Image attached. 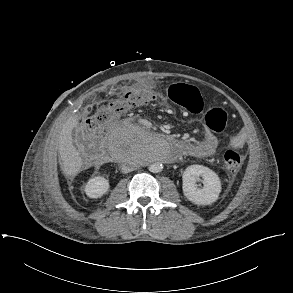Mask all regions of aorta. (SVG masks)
I'll list each match as a JSON object with an SVG mask.
<instances>
[{
	"label": "aorta",
	"mask_w": 293,
	"mask_h": 293,
	"mask_svg": "<svg viewBox=\"0 0 293 293\" xmlns=\"http://www.w3.org/2000/svg\"><path fill=\"white\" fill-rule=\"evenodd\" d=\"M152 151L157 156H165L169 148V142L163 138L155 137L150 142ZM163 169V165L160 162H154L149 166V171L152 173H159Z\"/></svg>",
	"instance_id": "obj_1"
}]
</instances>
